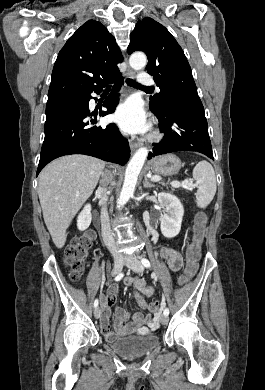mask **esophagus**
Returning <instances> with one entry per match:
<instances>
[{"mask_svg": "<svg viewBox=\"0 0 265 390\" xmlns=\"http://www.w3.org/2000/svg\"><path fill=\"white\" fill-rule=\"evenodd\" d=\"M126 75L129 78H133L135 73H134V71L130 67H128L127 71H126ZM138 147H139L138 143L132 142V141L130 142V149H131L132 152L135 151Z\"/></svg>", "mask_w": 265, "mask_h": 390, "instance_id": "obj_1", "label": "esophagus"}]
</instances>
